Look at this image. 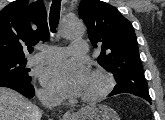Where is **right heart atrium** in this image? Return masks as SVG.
I'll list each match as a JSON object with an SVG mask.
<instances>
[{
	"label": "right heart atrium",
	"instance_id": "right-heart-atrium-1",
	"mask_svg": "<svg viewBox=\"0 0 165 120\" xmlns=\"http://www.w3.org/2000/svg\"><path fill=\"white\" fill-rule=\"evenodd\" d=\"M40 96L45 98V99H52L53 96L46 90H40L39 92Z\"/></svg>",
	"mask_w": 165,
	"mask_h": 120
}]
</instances>
